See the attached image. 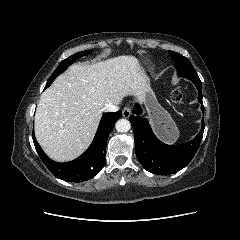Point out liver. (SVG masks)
Returning <instances> with one entry per match:
<instances>
[{"mask_svg":"<svg viewBox=\"0 0 240 240\" xmlns=\"http://www.w3.org/2000/svg\"><path fill=\"white\" fill-rule=\"evenodd\" d=\"M132 95L145 100L136 57L121 55L90 65L74 64L41 95L35 114L36 139L50 158L72 160L92 142L103 107Z\"/></svg>","mask_w":240,"mask_h":240,"instance_id":"obj_1","label":"liver"}]
</instances>
